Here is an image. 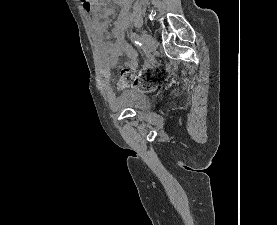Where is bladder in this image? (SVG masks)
I'll return each instance as SVG.
<instances>
[{
    "label": "bladder",
    "instance_id": "31cf9c89",
    "mask_svg": "<svg viewBox=\"0 0 277 225\" xmlns=\"http://www.w3.org/2000/svg\"><path fill=\"white\" fill-rule=\"evenodd\" d=\"M150 104V99L143 92L127 90L120 97L116 107L119 110L132 109L136 112H144L150 107Z\"/></svg>",
    "mask_w": 277,
    "mask_h": 225
}]
</instances>
